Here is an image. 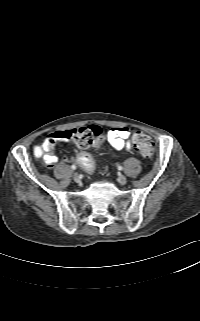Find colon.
<instances>
[{"instance_id": "obj_1", "label": "colon", "mask_w": 200, "mask_h": 321, "mask_svg": "<svg viewBox=\"0 0 200 321\" xmlns=\"http://www.w3.org/2000/svg\"><path fill=\"white\" fill-rule=\"evenodd\" d=\"M66 137L75 142L81 149L100 148L103 140V132L100 127L90 125L70 130ZM136 150L144 158H151L154 153V143L152 139L144 133H136L133 137ZM75 160L87 172L95 168V162L91 155L85 150H80L75 155Z\"/></svg>"}]
</instances>
